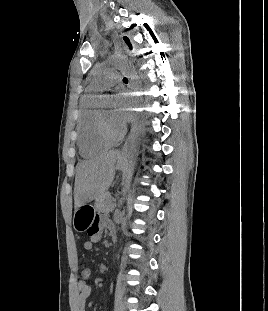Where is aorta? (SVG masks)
<instances>
[{
  "mask_svg": "<svg viewBox=\"0 0 268 311\" xmlns=\"http://www.w3.org/2000/svg\"><path fill=\"white\" fill-rule=\"evenodd\" d=\"M109 64L124 70L125 75H127V81L130 83L131 90L129 126L132 130L128 138L126 152L127 164L122 174V193L126 195L131 186L134 163L138 155L141 126L143 123V81L140 79V72H138L137 65H129L130 62L127 56L113 55L109 60ZM108 100V97H103L104 102H108Z\"/></svg>",
  "mask_w": 268,
  "mask_h": 311,
  "instance_id": "1",
  "label": "aorta"
}]
</instances>
